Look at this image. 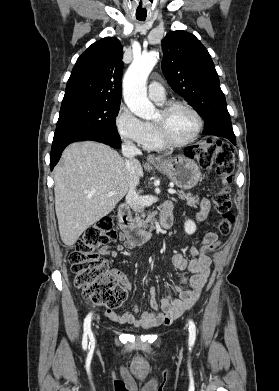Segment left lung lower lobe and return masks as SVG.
I'll return each mask as SVG.
<instances>
[{"label": "left lung lower lobe", "mask_w": 279, "mask_h": 391, "mask_svg": "<svg viewBox=\"0 0 279 391\" xmlns=\"http://www.w3.org/2000/svg\"><path fill=\"white\" fill-rule=\"evenodd\" d=\"M224 138H227L228 140H230L234 145H236V140H235V136L234 135H224L223 136Z\"/></svg>", "instance_id": "1"}]
</instances>
